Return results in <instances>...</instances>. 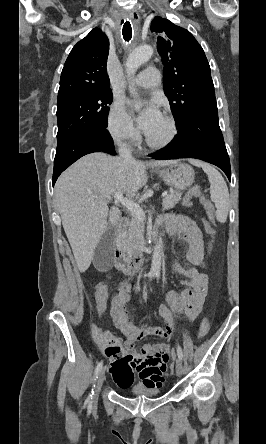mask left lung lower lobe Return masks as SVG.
Instances as JSON below:
<instances>
[{
  "label": "left lung lower lobe",
  "instance_id": "1",
  "mask_svg": "<svg viewBox=\"0 0 266 444\" xmlns=\"http://www.w3.org/2000/svg\"><path fill=\"white\" fill-rule=\"evenodd\" d=\"M179 135L153 159L197 158L221 168L231 180L229 156L218 122L217 107L199 109L178 124Z\"/></svg>",
  "mask_w": 266,
  "mask_h": 444
}]
</instances>
